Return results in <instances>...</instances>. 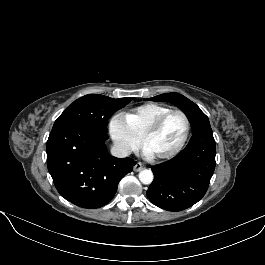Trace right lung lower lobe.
<instances>
[{
  "mask_svg": "<svg viewBox=\"0 0 265 265\" xmlns=\"http://www.w3.org/2000/svg\"><path fill=\"white\" fill-rule=\"evenodd\" d=\"M107 134L94 128L64 124L53 128L46 146L47 167L61 196L95 209L115 195L119 181L133 169L131 158L109 155Z\"/></svg>",
  "mask_w": 265,
  "mask_h": 265,
  "instance_id": "right-lung-lower-lobe-1",
  "label": "right lung lower lobe"
}]
</instances>
